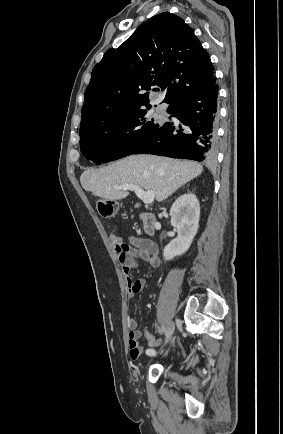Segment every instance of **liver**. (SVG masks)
I'll list each match as a JSON object with an SVG mask.
<instances>
[{
  "label": "liver",
  "mask_w": 283,
  "mask_h": 434,
  "mask_svg": "<svg viewBox=\"0 0 283 434\" xmlns=\"http://www.w3.org/2000/svg\"><path fill=\"white\" fill-rule=\"evenodd\" d=\"M202 171V165L196 162L140 154L130 155L103 168H89L81 174L80 183L86 191L112 201L129 195L118 186L133 184L153 191L156 200L162 202ZM139 206V203L135 205Z\"/></svg>",
  "instance_id": "1"
}]
</instances>
